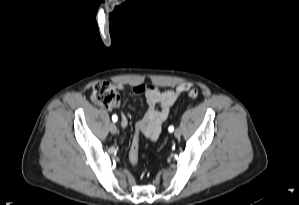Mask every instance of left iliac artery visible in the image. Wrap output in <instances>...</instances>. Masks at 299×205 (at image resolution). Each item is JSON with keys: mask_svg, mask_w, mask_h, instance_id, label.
I'll return each instance as SVG.
<instances>
[{"mask_svg": "<svg viewBox=\"0 0 299 205\" xmlns=\"http://www.w3.org/2000/svg\"><path fill=\"white\" fill-rule=\"evenodd\" d=\"M168 130H169V132H173V131H174V127H173V126H170V127L168 128Z\"/></svg>", "mask_w": 299, "mask_h": 205, "instance_id": "1", "label": "left iliac artery"}]
</instances>
